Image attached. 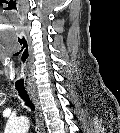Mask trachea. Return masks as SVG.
<instances>
[{
  "mask_svg": "<svg viewBox=\"0 0 120 133\" xmlns=\"http://www.w3.org/2000/svg\"><path fill=\"white\" fill-rule=\"evenodd\" d=\"M19 96L26 102V105L29 106L31 109H34V105L30 102L27 92L24 88H17Z\"/></svg>",
  "mask_w": 120,
  "mask_h": 133,
  "instance_id": "trachea-1",
  "label": "trachea"
}]
</instances>
